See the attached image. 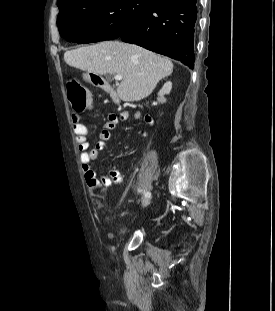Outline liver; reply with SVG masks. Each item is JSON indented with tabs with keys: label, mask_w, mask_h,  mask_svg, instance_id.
I'll return each instance as SVG.
<instances>
[{
	"label": "liver",
	"mask_w": 275,
	"mask_h": 311,
	"mask_svg": "<svg viewBox=\"0 0 275 311\" xmlns=\"http://www.w3.org/2000/svg\"><path fill=\"white\" fill-rule=\"evenodd\" d=\"M64 60L67 65L89 73L122 75L117 94L128 102L148 97L157 83L173 71L170 59L119 41H105L66 51Z\"/></svg>",
	"instance_id": "1"
}]
</instances>
